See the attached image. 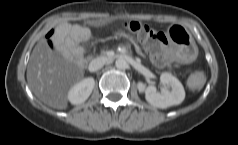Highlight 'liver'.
I'll return each instance as SVG.
<instances>
[{
  "label": "liver",
  "mask_w": 238,
  "mask_h": 145,
  "mask_svg": "<svg viewBox=\"0 0 238 145\" xmlns=\"http://www.w3.org/2000/svg\"><path fill=\"white\" fill-rule=\"evenodd\" d=\"M125 18L126 15H105L97 20H89L87 24L102 27ZM82 32L90 30L79 25L61 23L55 28L52 37L54 49L49 47L46 39H41L31 53L27 66L28 85L40 101L52 108L66 109L69 89L83 78L85 59L67 44L69 36Z\"/></svg>",
  "instance_id": "6515ba94"
}]
</instances>
